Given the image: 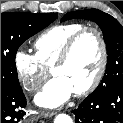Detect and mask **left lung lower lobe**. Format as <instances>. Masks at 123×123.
<instances>
[{"mask_svg": "<svg viewBox=\"0 0 123 123\" xmlns=\"http://www.w3.org/2000/svg\"><path fill=\"white\" fill-rule=\"evenodd\" d=\"M72 112L75 123H123V86L94 91Z\"/></svg>", "mask_w": 123, "mask_h": 123, "instance_id": "left-lung-lower-lobe-1", "label": "left lung lower lobe"}]
</instances>
